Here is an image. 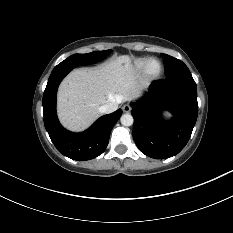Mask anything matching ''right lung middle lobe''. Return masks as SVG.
I'll use <instances>...</instances> for the list:
<instances>
[{"mask_svg": "<svg viewBox=\"0 0 233 233\" xmlns=\"http://www.w3.org/2000/svg\"><path fill=\"white\" fill-rule=\"evenodd\" d=\"M111 50L106 51H94L87 54H74L60 64H58L53 70L73 68L80 65H88L104 59Z\"/></svg>", "mask_w": 233, "mask_h": 233, "instance_id": "right-lung-middle-lobe-1", "label": "right lung middle lobe"}]
</instances>
